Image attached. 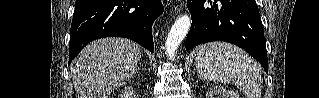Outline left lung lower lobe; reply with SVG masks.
Returning a JSON list of instances; mask_svg holds the SVG:
<instances>
[{
  "mask_svg": "<svg viewBox=\"0 0 319 98\" xmlns=\"http://www.w3.org/2000/svg\"><path fill=\"white\" fill-rule=\"evenodd\" d=\"M192 25L186 50L210 41L233 43L267 70V51L255 0H187Z\"/></svg>",
  "mask_w": 319,
  "mask_h": 98,
  "instance_id": "left-lung-lower-lobe-1",
  "label": "left lung lower lobe"
}]
</instances>
